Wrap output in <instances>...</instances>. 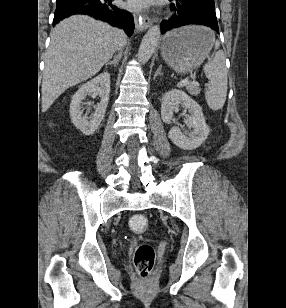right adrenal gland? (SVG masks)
Instances as JSON below:
<instances>
[{"label": "right adrenal gland", "instance_id": "1", "mask_svg": "<svg viewBox=\"0 0 286 308\" xmlns=\"http://www.w3.org/2000/svg\"><path fill=\"white\" fill-rule=\"evenodd\" d=\"M121 56L122 54L121 53H118L113 61H110L109 63H106L105 66L107 67L108 65H114L115 67L119 64L120 60H121Z\"/></svg>", "mask_w": 286, "mask_h": 308}]
</instances>
